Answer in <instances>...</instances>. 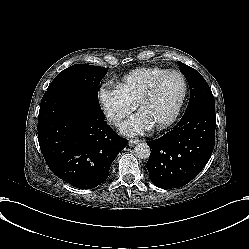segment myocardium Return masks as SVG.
Wrapping results in <instances>:
<instances>
[{
    "instance_id": "obj_1",
    "label": "myocardium",
    "mask_w": 249,
    "mask_h": 249,
    "mask_svg": "<svg viewBox=\"0 0 249 249\" xmlns=\"http://www.w3.org/2000/svg\"><path fill=\"white\" fill-rule=\"evenodd\" d=\"M176 78L181 87L180 96L178 98L177 104L175 106V109L170 116V118L165 121L164 123L154 124L152 123V126L156 129H164L169 126H171L176 119L178 118L180 111L182 109L185 96H186V82L184 76L179 71H171L167 72L162 76V78L154 85V87L145 95V97L142 99V101L137 105V113L142 116L143 109L145 106L157 95V93L172 79Z\"/></svg>"
}]
</instances>
